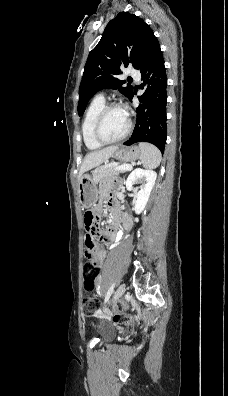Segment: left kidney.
Wrapping results in <instances>:
<instances>
[{
  "label": "left kidney",
  "mask_w": 228,
  "mask_h": 396,
  "mask_svg": "<svg viewBox=\"0 0 228 396\" xmlns=\"http://www.w3.org/2000/svg\"><path fill=\"white\" fill-rule=\"evenodd\" d=\"M157 174L156 172L152 170H144L141 168H136L133 170L127 180H126V188L129 191L133 190V185L137 182L143 183V185L140 187V190L134 191V198H135V205H134V211L136 214H140L149 199V196L151 194L152 188L155 184Z\"/></svg>",
  "instance_id": "left-kidney-1"
}]
</instances>
